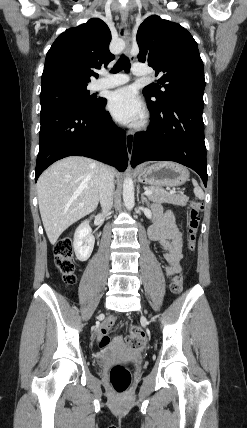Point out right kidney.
I'll return each instance as SVG.
<instances>
[{"label": "right kidney", "mask_w": 247, "mask_h": 428, "mask_svg": "<svg viewBox=\"0 0 247 428\" xmlns=\"http://www.w3.org/2000/svg\"><path fill=\"white\" fill-rule=\"evenodd\" d=\"M95 238L87 222L81 223L75 233L73 248L78 260L86 261L90 257L94 248Z\"/></svg>", "instance_id": "ca27d5eb"}]
</instances>
